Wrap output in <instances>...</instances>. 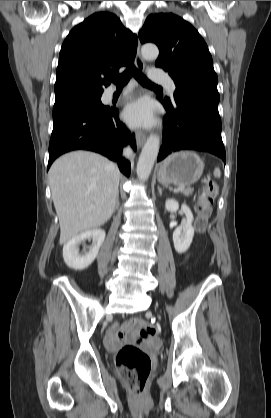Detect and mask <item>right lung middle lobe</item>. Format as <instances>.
I'll use <instances>...</instances> for the list:
<instances>
[{
	"mask_svg": "<svg viewBox=\"0 0 271 418\" xmlns=\"http://www.w3.org/2000/svg\"><path fill=\"white\" fill-rule=\"evenodd\" d=\"M100 98L101 95H95L55 102L53 107V118L72 111L103 106Z\"/></svg>",
	"mask_w": 271,
	"mask_h": 418,
	"instance_id": "dd1d6c3e",
	"label": "right lung middle lobe"
}]
</instances>
